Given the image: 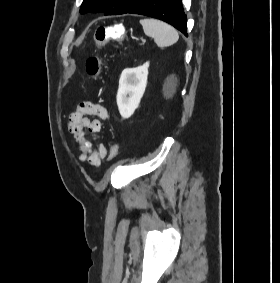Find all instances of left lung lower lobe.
<instances>
[{
	"label": "left lung lower lobe",
	"mask_w": 280,
	"mask_h": 283,
	"mask_svg": "<svg viewBox=\"0 0 280 283\" xmlns=\"http://www.w3.org/2000/svg\"><path fill=\"white\" fill-rule=\"evenodd\" d=\"M127 13L163 20L187 35V18L181 0H143Z\"/></svg>",
	"instance_id": "left-lung-lower-lobe-1"
}]
</instances>
